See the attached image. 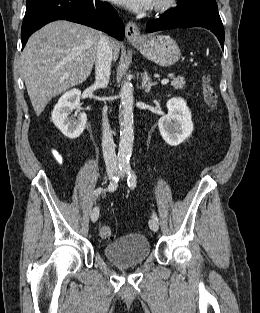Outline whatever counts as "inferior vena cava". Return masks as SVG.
Returning <instances> with one entry per match:
<instances>
[{"label": "inferior vena cava", "mask_w": 260, "mask_h": 313, "mask_svg": "<svg viewBox=\"0 0 260 313\" xmlns=\"http://www.w3.org/2000/svg\"><path fill=\"white\" fill-rule=\"evenodd\" d=\"M112 58L113 53L109 37L102 35L98 43L95 61V85L100 88H105L109 83ZM102 125V149L105 164L107 167H116L118 165V159L115 153L112 131L107 120V109H104Z\"/></svg>", "instance_id": "obj_1"}]
</instances>
